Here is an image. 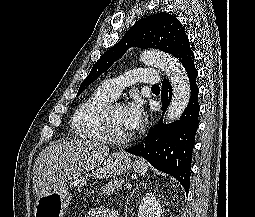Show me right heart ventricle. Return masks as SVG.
Masks as SVG:
<instances>
[{
  "label": "right heart ventricle",
  "mask_w": 255,
  "mask_h": 217,
  "mask_svg": "<svg viewBox=\"0 0 255 217\" xmlns=\"http://www.w3.org/2000/svg\"><path fill=\"white\" fill-rule=\"evenodd\" d=\"M113 99L103 85H100L77 107L71 123L77 136L86 140H105L100 130L99 114Z\"/></svg>",
  "instance_id": "1"
}]
</instances>
